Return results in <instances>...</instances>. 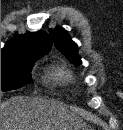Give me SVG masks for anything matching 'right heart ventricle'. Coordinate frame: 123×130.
<instances>
[{"instance_id":"1","label":"right heart ventricle","mask_w":123,"mask_h":130,"mask_svg":"<svg viewBox=\"0 0 123 130\" xmlns=\"http://www.w3.org/2000/svg\"><path fill=\"white\" fill-rule=\"evenodd\" d=\"M48 76L51 81L58 84H66L73 81L72 73L64 66L51 67Z\"/></svg>"}]
</instances>
